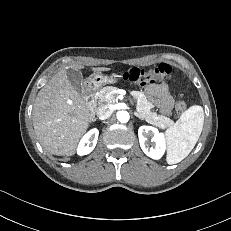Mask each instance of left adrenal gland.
I'll use <instances>...</instances> for the list:
<instances>
[{
    "instance_id": "left-adrenal-gland-1",
    "label": "left adrenal gland",
    "mask_w": 231,
    "mask_h": 231,
    "mask_svg": "<svg viewBox=\"0 0 231 231\" xmlns=\"http://www.w3.org/2000/svg\"><path fill=\"white\" fill-rule=\"evenodd\" d=\"M134 115L138 117L139 119L143 120L142 117L137 112H134Z\"/></svg>"
}]
</instances>
